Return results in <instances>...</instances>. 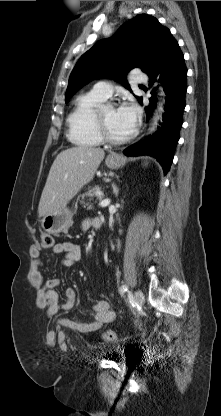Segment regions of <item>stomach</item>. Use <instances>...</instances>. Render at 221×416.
<instances>
[{"instance_id":"0dacf381","label":"stomach","mask_w":221,"mask_h":416,"mask_svg":"<svg viewBox=\"0 0 221 416\" xmlns=\"http://www.w3.org/2000/svg\"><path fill=\"white\" fill-rule=\"evenodd\" d=\"M105 164L110 169H117L121 165V158L114 156L112 159L108 157ZM73 223V213L68 208L60 209L59 211L46 215L41 220L43 230L49 234L66 233Z\"/></svg>"}]
</instances>
